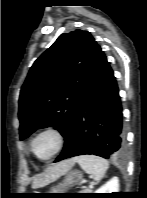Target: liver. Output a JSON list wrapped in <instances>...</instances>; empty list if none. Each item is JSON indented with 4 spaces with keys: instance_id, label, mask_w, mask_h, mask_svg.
Wrapping results in <instances>:
<instances>
[{
    "instance_id": "6515ba94",
    "label": "liver",
    "mask_w": 147,
    "mask_h": 198,
    "mask_svg": "<svg viewBox=\"0 0 147 198\" xmlns=\"http://www.w3.org/2000/svg\"><path fill=\"white\" fill-rule=\"evenodd\" d=\"M75 162L76 161L74 158L52 164L43 174L39 175L33 180L32 188L36 189L43 187L55 181L60 176L66 174L74 166Z\"/></svg>"
}]
</instances>
